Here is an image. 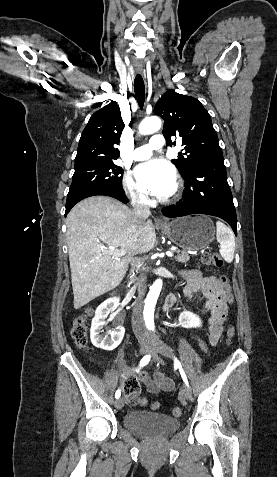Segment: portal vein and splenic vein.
Wrapping results in <instances>:
<instances>
[{
	"mask_svg": "<svg viewBox=\"0 0 277 477\" xmlns=\"http://www.w3.org/2000/svg\"><path fill=\"white\" fill-rule=\"evenodd\" d=\"M110 249H111V255H112L113 257H116V258H118V257H123V256H125V255L127 254V252H126L124 249H119V250H118V249H114V248H110ZM166 255H167L168 257H173V256H174V253H173V251H167V252H166Z\"/></svg>",
	"mask_w": 277,
	"mask_h": 477,
	"instance_id": "1",
	"label": "portal vein and splenic vein"
}]
</instances>
